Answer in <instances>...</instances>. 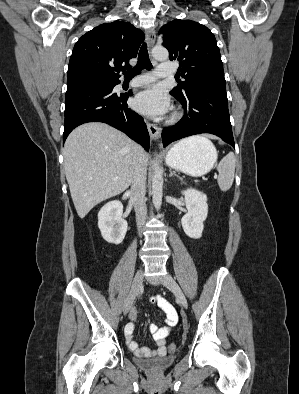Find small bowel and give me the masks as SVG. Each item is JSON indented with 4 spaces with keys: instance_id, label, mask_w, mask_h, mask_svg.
<instances>
[{
    "instance_id": "obj_1",
    "label": "small bowel",
    "mask_w": 299,
    "mask_h": 394,
    "mask_svg": "<svg viewBox=\"0 0 299 394\" xmlns=\"http://www.w3.org/2000/svg\"><path fill=\"white\" fill-rule=\"evenodd\" d=\"M151 301L161 308L166 316L165 325L149 324L147 326V331L152 335L153 340L156 343V348L149 349L146 347H140L138 343L134 341V325L138 318V313L135 308L131 310L129 315L130 323L125 327L124 330L125 338L130 350L133 351L138 357H157L165 354L166 338L178 322V314L176 309L161 294L152 296Z\"/></svg>"
}]
</instances>
